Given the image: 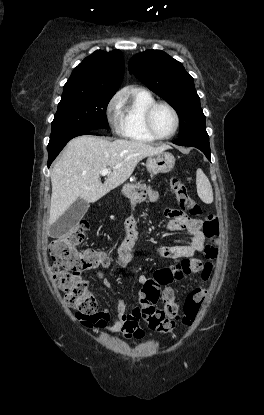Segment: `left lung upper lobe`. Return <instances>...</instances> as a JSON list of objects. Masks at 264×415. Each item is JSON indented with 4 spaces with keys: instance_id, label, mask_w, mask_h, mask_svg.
<instances>
[{
    "instance_id": "left-lung-upper-lobe-1",
    "label": "left lung upper lobe",
    "mask_w": 264,
    "mask_h": 415,
    "mask_svg": "<svg viewBox=\"0 0 264 415\" xmlns=\"http://www.w3.org/2000/svg\"><path fill=\"white\" fill-rule=\"evenodd\" d=\"M128 67L131 74L174 107L180 122L178 139L207 133L193 77L180 62L161 50H148L133 56Z\"/></svg>"
}]
</instances>
